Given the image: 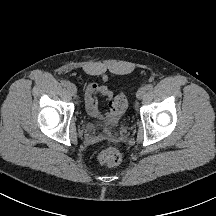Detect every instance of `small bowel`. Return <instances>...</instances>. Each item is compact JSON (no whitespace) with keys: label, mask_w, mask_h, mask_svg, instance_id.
<instances>
[{"label":"small bowel","mask_w":216,"mask_h":216,"mask_svg":"<svg viewBox=\"0 0 216 216\" xmlns=\"http://www.w3.org/2000/svg\"><path fill=\"white\" fill-rule=\"evenodd\" d=\"M84 87L86 111L94 119H106V125L111 126L117 119V116L111 111H103L98 103V98L102 97L111 101L113 93L106 85H98L94 82L80 80Z\"/></svg>","instance_id":"1"}]
</instances>
